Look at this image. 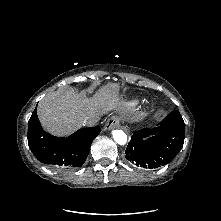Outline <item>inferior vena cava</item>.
<instances>
[{"label": "inferior vena cava", "mask_w": 221, "mask_h": 221, "mask_svg": "<svg viewBox=\"0 0 221 221\" xmlns=\"http://www.w3.org/2000/svg\"><path fill=\"white\" fill-rule=\"evenodd\" d=\"M99 119L100 117L98 115L86 117L83 121V125H86L88 127H93L98 123Z\"/></svg>", "instance_id": "obj_1"}]
</instances>
